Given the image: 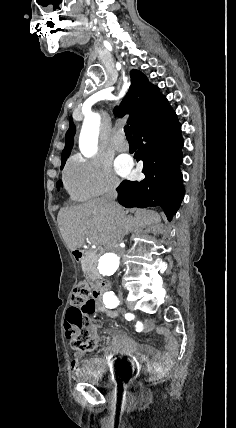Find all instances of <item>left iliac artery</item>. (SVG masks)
<instances>
[{"label": "left iliac artery", "mask_w": 236, "mask_h": 428, "mask_svg": "<svg viewBox=\"0 0 236 428\" xmlns=\"http://www.w3.org/2000/svg\"><path fill=\"white\" fill-rule=\"evenodd\" d=\"M103 302L106 305V308L113 309L119 305V300L115 296L113 291L106 292L103 295Z\"/></svg>", "instance_id": "44dca946"}]
</instances>
